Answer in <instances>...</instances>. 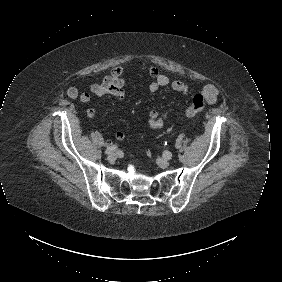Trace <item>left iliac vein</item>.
<instances>
[{
	"label": "left iliac vein",
	"instance_id": "1",
	"mask_svg": "<svg viewBox=\"0 0 282 282\" xmlns=\"http://www.w3.org/2000/svg\"><path fill=\"white\" fill-rule=\"evenodd\" d=\"M157 163L160 167L166 168L170 165V162L167 158H158Z\"/></svg>",
	"mask_w": 282,
	"mask_h": 282
}]
</instances>
